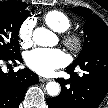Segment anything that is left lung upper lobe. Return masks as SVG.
Returning a JSON list of instances; mask_svg holds the SVG:
<instances>
[{
  "label": "left lung upper lobe",
  "instance_id": "obj_1",
  "mask_svg": "<svg viewBox=\"0 0 108 108\" xmlns=\"http://www.w3.org/2000/svg\"><path fill=\"white\" fill-rule=\"evenodd\" d=\"M70 10L86 18L84 25V45L80 54L71 65L80 66L86 63L97 65L108 64V26L88 8L74 7L70 8ZM77 93L76 90H70L67 93L68 99H76Z\"/></svg>",
  "mask_w": 108,
  "mask_h": 108
}]
</instances>
